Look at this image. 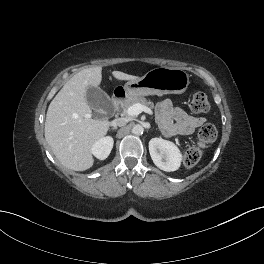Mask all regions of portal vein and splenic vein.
Wrapping results in <instances>:
<instances>
[{
  "label": "portal vein and splenic vein",
  "mask_w": 264,
  "mask_h": 264,
  "mask_svg": "<svg viewBox=\"0 0 264 264\" xmlns=\"http://www.w3.org/2000/svg\"><path fill=\"white\" fill-rule=\"evenodd\" d=\"M141 112L148 113L149 115L153 114V111L149 107L139 103L130 106L126 111L129 116H138Z\"/></svg>",
  "instance_id": "obj_1"
}]
</instances>
